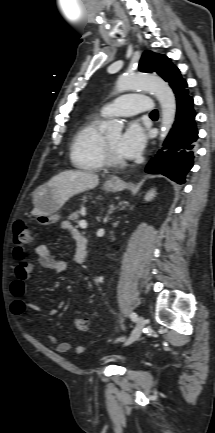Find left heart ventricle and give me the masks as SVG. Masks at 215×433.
Wrapping results in <instances>:
<instances>
[{
	"label": "left heart ventricle",
	"mask_w": 215,
	"mask_h": 433,
	"mask_svg": "<svg viewBox=\"0 0 215 433\" xmlns=\"http://www.w3.org/2000/svg\"><path fill=\"white\" fill-rule=\"evenodd\" d=\"M120 136H121L120 133H114V134L106 135L108 143L110 144V146L113 149L116 156L122 158V156L117 151V144H118V141L120 139Z\"/></svg>",
	"instance_id": "obj_1"
}]
</instances>
